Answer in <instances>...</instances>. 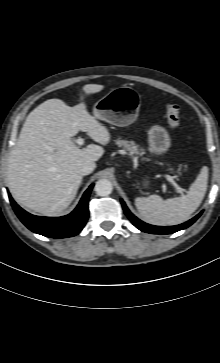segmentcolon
<instances>
[{
	"instance_id": "colon-1",
	"label": "colon",
	"mask_w": 220,
	"mask_h": 363,
	"mask_svg": "<svg viewBox=\"0 0 220 363\" xmlns=\"http://www.w3.org/2000/svg\"><path fill=\"white\" fill-rule=\"evenodd\" d=\"M166 117L169 126L172 129H177L180 125V110L175 104L168 105L166 108Z\"/></svg>"
}]
</instances>
